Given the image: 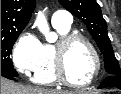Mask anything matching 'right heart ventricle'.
Masks as SVG:
<instances>
[{"label": "right heart ventricle", "instance_id": "e07e8e85", "mask_svg": "<svg viewBox=\"0 0 121 94\" xmlns=\"http://www.w3.org/2000/svg\"><path fill=\"white\" fill-rule=\"evenodd\" d=\"M57 33L62 37L71 34V25L53 24ZM33 81L40 85L52 86L58 84L59 81L54 73V44L46 43L40 45L39 62L33 70Z\"/></svg>", "mask_w": 121, "mask_h": 94}]
</instances>
